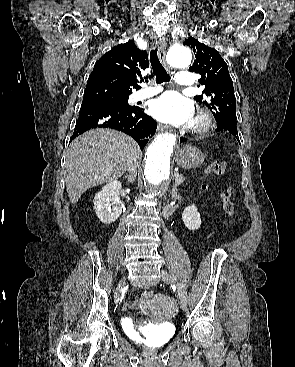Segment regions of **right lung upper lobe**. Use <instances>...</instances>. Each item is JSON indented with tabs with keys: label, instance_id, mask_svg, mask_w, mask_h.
I'll list each match as a JSON object with an SVG mask.
<instances>
[{
	"label": "right lung upper lobe",
	"instance_id": "cb5924a9",
	"mask_svg": "<svg viewBox=\"0 0 295 367\" xmlns=\"http://www.w3.org/2000/svg\"><path fill=\"white\" fill-rule=\"evenodd\" d=\"M149 67L146 51L139 50L134 41L119 44L103 55L95 64L86 89L101 87L117 94L130 95L138 89L141 70Z\"/></svg>",
	"mask_w": 295,
	"mask_h": 367
}]
</instances>
